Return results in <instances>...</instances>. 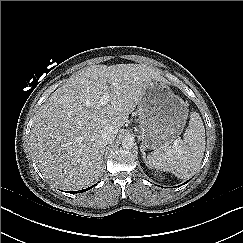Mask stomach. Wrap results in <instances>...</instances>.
<instances>
[{
  "instance_id": "stomach-1",
  "label": "stomach",
  "mask_w": 243,
  "mask_h": 243,
  "mask_svg": "<svg viewBox=\"0 0 243 243\" xmlns=\"http://www.w3.org/2000/svg\"><path fill=\"white\" fill-rule=\"evenodd\" d=\"M188 111V104L168 85L153 80L138 105L141 146L156 151L172 144L184 129Z\"/></svg>"
}]
</instances>
